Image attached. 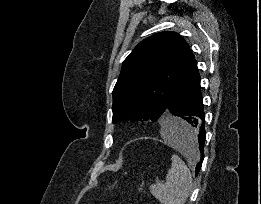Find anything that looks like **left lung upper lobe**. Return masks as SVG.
Instances as JSON below:
<instances>
[{"label":"left lung upper lobe","mask_w":261,"mask_h":204,"mask_svg":"<svg viewBox=\"0 0 261 204\" xmlns=\"http://www.w3.org/2000/svg\"><path fill=\"white\" fill-rule=\"evenodd\" d=\"M193 61L189 45L175 32L140 42L124 60L113 89V123L161 118Z\"/></svg>","instance_id":"1"}]
</instances>
